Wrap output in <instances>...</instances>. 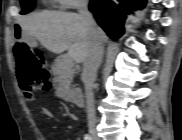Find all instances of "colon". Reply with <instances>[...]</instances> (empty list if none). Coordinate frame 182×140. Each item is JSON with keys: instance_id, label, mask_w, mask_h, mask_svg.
I'll return each instance as SVG.
<instances>
[{"instance_id": "obj_1", "label": "colon", "mask_w": 182, "mask_h": 140, "mask_svg": "<svg viewBox=\"0 0 182 140\" xmlns=\"http://www.w3.org/2000/svg\"><path fill=\"white\" fill-rule=\"evenodd\" d=\"M14 55L20 86L25 97L31 100L34 92L45 88L48 83V70L43 54L24 43H17L14 47Z\"/></svg>"}]
</instances>
